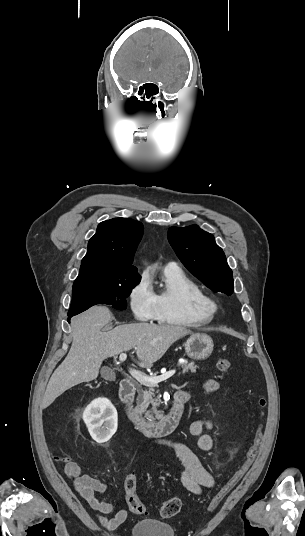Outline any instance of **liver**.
<instances>
[{
  "mask_svg": "<svg viewBox=\"0 0 305 536\" xmlns=\"http://www.w3.org/2000/svg\"><path fill=\"white\" fill-rule=\"evenodd\" d=\"M111 312L105 306H93L72 318L73 342L68 356L52 374L44 394L42 408H48L63 392L98 378L103 360L136 348L140 368H152L168 348L191 334L182 326L168 324H124L111 332H101L109 324Z\"/></svg>",
  "mask_w": 305,
  "mask_h": 536,
  "instance_id": "obj_1",
  "label": "liver"
}]
</instances>
